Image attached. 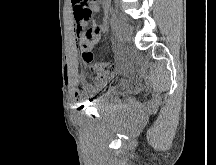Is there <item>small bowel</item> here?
<instances>
[{
    "label": "small bowel",
    "instance_id": "1",
    "mask_svg": "<svg viewBox=\"0 0 216 165\" xmlns=\"http://www.w3.org/2000/svg\"><path fill=\"white\" fill-rule=\"evenodd\" d=\"M73 6V18L75 21V30L74 35L76 40H79L80 43L86 40V32L84 29L88 26L89 19L92 13L99 11V0H90L89 2H82V5H76L73 0H71ZM81 13H89V16H83ZM102 30L107 28V17L105 16L104 22L102 25ZM98 40H95L91 43V47L97 43ZM75 97L80 98L81 93L78 90H75Z\"/></svg>",
    "mask_w": 216,
    "mask_h": 165
}]
</instances>
